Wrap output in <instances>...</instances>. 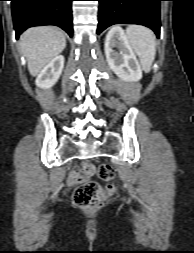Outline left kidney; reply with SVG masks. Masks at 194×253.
<instances>
[{"instance_id": "5707ae66", "label": "left kidney", "mask_w": 194, "mask_h": 253, "mask_svg": "<svg viewBox=\"0 0 194 253\" xmlns=\"http://www.w3.org/2000/svg\"><path fill=\"white\" fill-rule=\"evenodd\" d=\"M105 55L110 69L123 81L137 82L142 78L140 64L120 27H113L107 33Z\"/></svg>"}]
</instances>
